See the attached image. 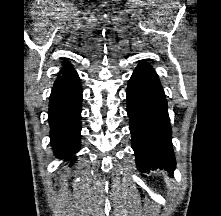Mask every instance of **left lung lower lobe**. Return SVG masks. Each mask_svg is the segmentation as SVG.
<instances>
[{
  "label": "left lung lower lobe",
  "instance_id": "left-lung-lower-lobe-1",
  "mask_svg": "<svg viewBox=\"0 0 221 216\" xmlns=\"http://www.w3.org/2000/svg\"><path fill=\"white\" fill-rule=\"evenodd\" d=\"M127 112L132 148L141 172L175 169L167 101L153 67L140 62L127 87Z\"/></svg>",
  "mask_w": 221,
  "mask_h": 216
}]
</instances>
